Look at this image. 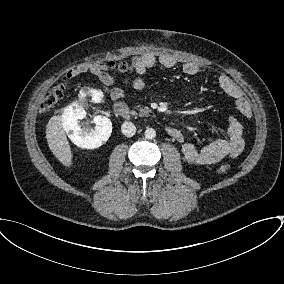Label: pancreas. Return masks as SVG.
<instances>
[{
  "label": "pancreas",
  "instance_id": "cf45deb5",
  "mask_svg": "<svg viewBox=\"0 0 284 284\" xmlns=\"http://www.w3.org/2000/svg\"><path fill=\"white\" fill-rule=\"evenodd\" d=\"M136 108L139 110L140 116H149L150 113L152 112L151 109H149L146 106L145 107L137 106Z\"/></svg>",
  "mask_w": 284,
  "mask_h": 284
}]
</instances>
